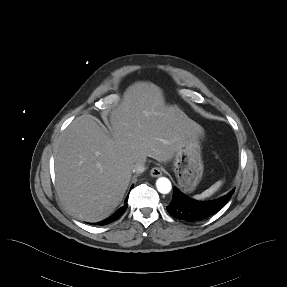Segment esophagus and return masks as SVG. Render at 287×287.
I'll return each mask as SVG.
<instances>
[{
  "instance_id": "34e87169",
  "label": "esophagus",
  "mask_w": 287,
  "mask_h": 287,
  "mask_svg": "<svg viewBox=\"0 0 287 287\" xmlns=\"http://www.w3.org/2000/svg\"><path fill=\"white\" fill-rule=\"evenodd\" d=\"M162 172H163V168L162 167H153L150 171V174L152 177H159L162 175Z\"/></svg>"
}]
</instances>
